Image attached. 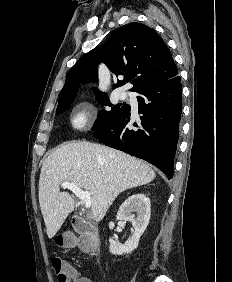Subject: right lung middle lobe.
<instances>
[{"label": "right lung middle lobe", "mask_w": 232, "mask_h": 282, "mask_svg": "<svg viewBox=\"0 0 232 282\" xmlns=\"http://www.w3.org/2000/svg\"><path fill=\"white\" fill-rule=\"evenodd\" d=\"M98 95H99V102L102 105H107L111 107V110H102L99 112L98 118L94 124L93 130L103 127L104 125L109 123L111 120L125 113L130 108V106L126 103L117 104V105L111 104V102L109 101V98L103 93H98ZM74 97L75 95H72L62 100H59L56 113L59 114L63 112L66 108H68L71 102L73 101Z\"/></svg>", "instance_id": "1"}]
</instances>
